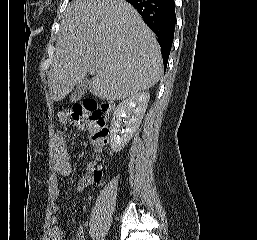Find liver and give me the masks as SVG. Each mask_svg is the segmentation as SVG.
<instances>
[{"label": "liver", "instance_id": "obj_1", "mask_svg": "<svg viewBox=\"0 0 257 240\" xmlns=\"http://www.w3.org/2000/svg\"><path fill=\"white\" fill-rule=\"evenodd\" d=\"M88 72V88L106 100H122L153 87L163 73L160 46L125 0H73L60 23L48 84L61 101Z\"/></svg>", "mask_w": 257, "mask_h": 240}]
</instances>
